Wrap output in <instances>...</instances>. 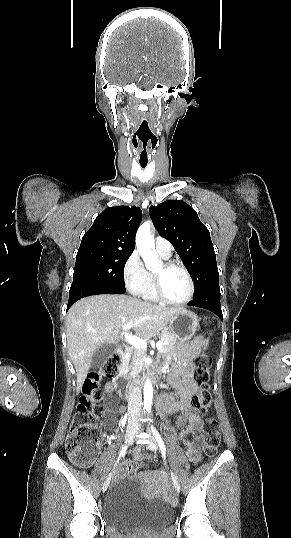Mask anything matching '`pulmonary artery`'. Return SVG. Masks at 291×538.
Masks as SVG:
<instances>
[{
    "mask_svg": "<svg viewBox=\"0 0 291 538\" xmlns=\"http://www.w3.org/2000/svg\"><path fill=\"white\" fill-rule=\"evenodd\" d=\"M154 246H155L156 251L161 256L169 258L172 255L173 248H172L171 243L168 240L162 237H157L155 239Z\"/></svg>",
    "mask_w": 291,
    "mask_h": 538,
    "instance_id": "pulmonary-artery-1",
    "label": "pulmonary artery"
}]
</instances>
